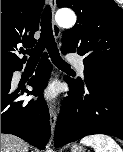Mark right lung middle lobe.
Masks as SVG:
<instances>
[{
	"label": "right lung middle lobe",
	"instance_id": "obj_1",
	"mask_svg": "<svg viewBox=\"0 0 123 152\" xmlns=\"http://www.w3.org/2000/svg\"><path fill=\"white\" fill-rule=\"evenodd\" d=\"M9 70L7 69H1V79H4L5 78V75L6 73L8 72Z\"/></svg>",
	"mask_w": 123,
	"mask_h": 152
}]
</instances>
